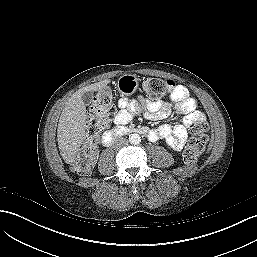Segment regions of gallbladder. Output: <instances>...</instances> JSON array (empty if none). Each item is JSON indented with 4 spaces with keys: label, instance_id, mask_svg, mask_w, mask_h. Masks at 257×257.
Wrapping results in <instances>:
<instances>
[{
    "label": "gallbladder",
    "instance_id": "obj_1",
    "mask_svg": "<svg viewBox=\"0 0 257 257\" xmlns=\"http://www.w3.org/2000/svg\"><path fill=\"white\" fill-rule=\"evenodd\" d=\"M82 99L85 105H90L93 100V93L92 92L83 93Z\"/></svg>",
    "mask_w": 257,
    "mask_h": 257
}]
</instances>
